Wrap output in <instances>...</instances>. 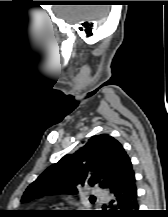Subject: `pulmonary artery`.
<instances>
[{
	"label": "pulmonary artery",
	"instance_id": "1",
	"mask_svg": "<svg viewBox=\"0 0 168 217\" xmlns=\"http://www.w3.org/2000/svg\"><path fill=\"white\" fill-rule=\"evenodd\" d=\"M92 194L95 197L102 198V199H107V194L104 191L100 190V189H93Z\"/></svg>",
	"mask_w": 168,
	"mask_h": 217
}]
</instances>
